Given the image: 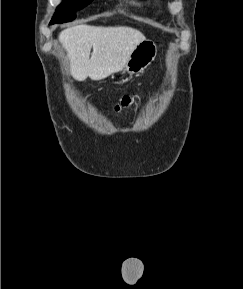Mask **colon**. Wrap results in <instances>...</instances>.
Instances as JSON below:
<instances>
[{"label": "colon", "instance_id": "colon-1", "mask_svg": "<svg viewBox=\"0 0 243 289\" xmlns=\"http://www.w3.org/2000/svg\"><path fill=\"white\" fill-rule=\"evenodd\" d=\"M137 96H124L114 107L118 113L128 111L137 102Z\"/></svg>", "mask_w": 243, "mask_h": 289}]
</instances>
